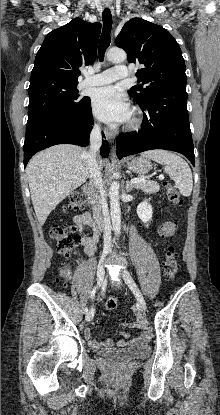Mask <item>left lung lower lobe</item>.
Returning <instances> with one entry per match:
<instances>
[{
  "instance_id": "left-lung-lower-lobe-1",
  "label": "left lung lower lobe",
  "mask_w": 220,
  "mask_h": 415,
  "mask_svg": "<svg viewBox=\"0 0 220 415\" xmlns=\"http://www.w3.org/2000/svg\"><path fill=\"white\" fill-rule=\"evenodd\" d=\"M139 106L143 111L142 128L137 133L118 136V157L121 159L147 150L166 149L185 155L194 166L186 86L158 89Z\"/></svg>"
}]
</instances>
